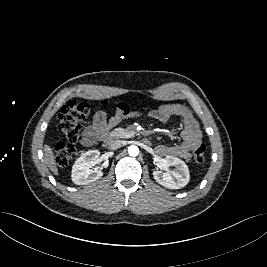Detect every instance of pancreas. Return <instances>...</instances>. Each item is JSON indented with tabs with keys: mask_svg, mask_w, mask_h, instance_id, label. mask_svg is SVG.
Returning a JSON list of instances; mask_svg holds the SVG:
<instances>
[{
	"mask_svg": "<svg viewBox=\"0 0 267 267\" xmlns=\"http://www.w3.org/2000/svg\"><path fill=\"white\" fill-rule=\"evenodd\" d=\"M118 135V130H114L112 133H111V136H116Z\"/></svg>",
	"mask_w": 267,
	"mask_h": 267,
	"instance_id": "obj_1",
	"label": "pancreas"
}]
</instances>
